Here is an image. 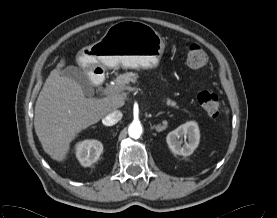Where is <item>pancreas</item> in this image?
<instances>
[{
  "label": "pancreas",
  "mask_w": 277,
  "mask_h": 218,
  "mask_svg": "<svg viewBox=\"0 0 277 218\" xmlns=\"http://www.w3.org/2000/svg\"><path fill=\"white\" fill-rule=\"evenodd\" d=\"M138 78V74L133 72H126L123 74H120L115 79V85L112 86L114 89H116V92H120L124 89L132 90L130 87V83L135 84ZM163 102H165L168 106L178 108V105L175 101L171 100L170 98L163 99Z\"/></svg>",
  "instance_id": "pancreas-1"
}]
</instances>
